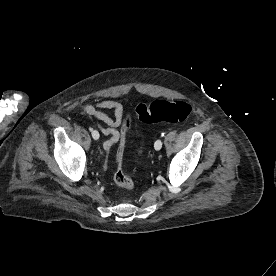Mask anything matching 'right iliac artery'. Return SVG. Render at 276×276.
<instances>
[{"label": "right iliac artery", "instance_id": "82829eb1", "mask_svg": "<svg viewBox=\"0 0 276 276\" xmlns=\"http://www.w3.org/2000/svg\"><path fill=\"white\" fill-rule=\"evenodd\" d=\"M89 130L92 132V131H93V128L90 127ZM98 138H99V135H98Z\"/></svg>", "mask_w": 276, "mask_h": 276}]
</instances>
